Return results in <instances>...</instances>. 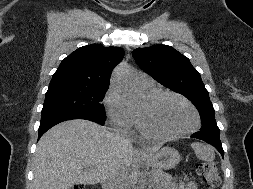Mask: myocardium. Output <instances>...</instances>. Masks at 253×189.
I'll use <instances>...</instances> for the list:
<instances>
[{
	"label": "myocardium",
	"instance_id": "obj_1",
	"mask_svg": "<svg viewBox=\"0 0 253 189\" xmlns=\"http://www.w3.org/2000/svg\"><path fill=\"white\" fill-rule=\"evenodd\" d=\"M163 97H173L176 98L178 100H180L181 102H183L184 104H186L193 112L194 114V125L182 132H178V133H174V134H160L157 132H154L152 130H150L149 128H147V126L144 123L142 114L140 112L137 113V127L138 130L145 135L146 137H149L151 139H155V140H161V141H168V140H174V139H178V138H182L185 136H188L194 132H196L199 127H200V115L198 110L196 109V107L185 97H183L182 95L175 93V92H171V91H159L156 94L152 95L151 97L146 99V104L147 106H153L154 104H156L161 98Z\"/></svg>",
	"mask_w": 253,
	"mask_h": 189
}]
</instances>
